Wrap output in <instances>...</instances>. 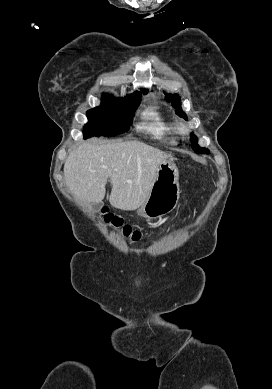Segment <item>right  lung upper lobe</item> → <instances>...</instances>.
I'll use <instances>...</instances> for the list:
<instances>
[{
  "mask_svg": "<svg viewBox=\"0 0 272 389\" xmlns=\"http://www.w3.org/2000/svg\"><path fill=\"white\" fill-rule=\"evenodd\" d=\"M146 92H147V90L141 89V92H135V93H133V94H131V95H128L127 97L137 96V95H139V94H141V93H146Z\"/></svg>",
  "mask_w": 272,
  "mask_h": 389,
  "instance_id": "cb5924a9",
  "label": "right lung upper lobe"
}]
</instances>
